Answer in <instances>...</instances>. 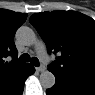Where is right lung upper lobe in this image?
<instances>
[{"label": "right lung upper lobe", "instance_id": "obj_1", "mask_svg": "<svg viewBox=\"0 0 95 95\" xmlns=\"http://www.w3.org/2000/svg\"><path fill=\"white\" fill-rule=\"evenodd\" d=\"M26 18V13L0 10V95L11 93L25 78L31 67L17 59V50L13 41L16 30ZM8 56L12 57L10 62H6Z\"/></svg>", "mask_w": 95, "mask_h": 95}]
</instances>
